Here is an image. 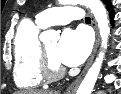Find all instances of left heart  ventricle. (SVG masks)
I'll return each mask as SVG.
<instances>
[{
    "label": "left heart ventricle",
    "instance_id": "left-heart-ventricle-1",
    "mask_svg": "<svg viewBox=\"0 0 121 94\" xmlns=\"http://www.w3.org/2000/svg\"><path fill=\"white\" fill-rule=\"evenodd\" d=\"M45 46V49L47 51V53L49 54L51 60L58 64V65H61V63L58 62V60L56 59V48H57V42L56 41H53V42H49V43H46L44 44Z\"/></svg>",
    "mask_w": 121,
    "mask_h": 94
}]
</instances>
